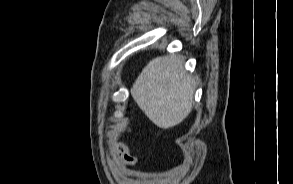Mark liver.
Masks as SVG:
<instances>
[{"instance_id": "1", "label": "liver", "mask_w": 293, "mask_h": 184, "mask_svg": "<svg viewBox=\"0 0 293 184\" xmlns=\"http://www.w3.org/2000/svg\"><path fill=\"white\" fill-rule=\"evenodd\" d=\"M195 80L184 70L178 55L156 57L135 80L131 95L145 115L159 128L180 124L191 112Z\"/></svg>"}]
</instances>
